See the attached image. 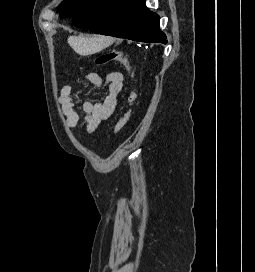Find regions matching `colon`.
Wrapping results in <instances>:
<instances>
[{
  "mask_svg": "<svg viewBox=\"0 0 255 272\" xmlns=\"http://www.w3.org/2000/svg\"><path fill=\"white\" fill-rule=\"evenodd\" d=\"M111 62H117V63L122 64L127 69L128 76H129L130 80H132L133 71H132L128 57L123 52L118 51V50H111V51H108V52L102 54L101 56H99L96 59L97 65H104L107 63H111ZM134 100H135V93H134V90L131 88L129 91V94H128V98H127L126 109L124 110L120 119L118 120V122L114 126L113 133L115 135L120 133L122 131V129L124 128V126L126 125L127 120L130 116L131 106H132Z\"/></svg>",
  "mask_w": 255,
  "mask_h": 272,
  "instance_id": "colon-1",
  "label": "colon"
}]
</instances>
